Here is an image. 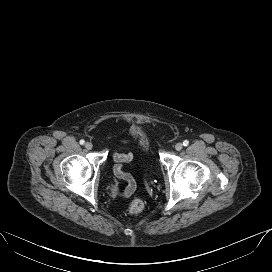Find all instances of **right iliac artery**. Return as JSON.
Wrapping results in <instances>:
<instances>
[{
	"instance_id": "82829eb1",
	"label": "right iliac artery",
	"mask_w": 272,
	"mask_h": 272,
	"mask_svg": "<svg viewBox=\"0 0 272 272\" xmlns=\"http://www.w3.org/2000/svg\"><path fill=\"white\" fill-rule=\"evenodd\" d=\"M79 143H80L81 145H84L85 141L82 139V140H80Z\"/></svg>"
}]
</instances>
